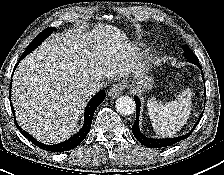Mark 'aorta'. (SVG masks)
Here are the masks:
<instances>
[{
  "label": "aorta",
  "mask_w": 224,
  "mask_h": 175,
  "mask_svg": "<svg viewBox=\"0 0 224 175\" xmlns=\"http://www.w3.org/2000/svg\"><path fill=\"white\" fill-rule=\"evenodd\" d=\"M115 103L117 111L124 116L133 114L136 109L135 101L129 96H121Z\"/></svg>",
  "instance_id": "1"
}]
</instances>
